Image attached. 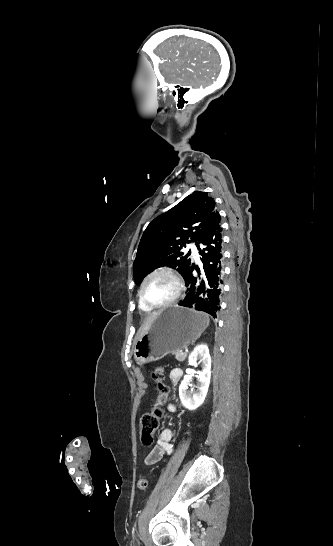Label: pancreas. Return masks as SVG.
I'll return each instance as SVG.
<instances>
[{
    "instance_id": "pancreas-1",
    "label": "pancreas",
    "mask_w": 333,
    "mask_h": 546,
    "mask_svg": "<svg viewBox=\"0 0 333 546\" xmlns=\"http://www.w3.org/2000/svg\"><path fill=\"white\" fill-rule=\"evenodd\" d=\"M172 354L175 355V358L179 362L184 361L186 359V357H187V353L183 352L181 349L174 351Z\"/></svg>"
}]
</instances>
